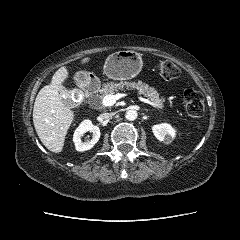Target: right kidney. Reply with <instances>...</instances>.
Returning <instances> with one entry per match:
<instances>
[{
  "label": "right kidney",
  "mask_w": 240,
  "mask_h": 240,
  "mask_svg": "<svg viewBox=\"0 0 240 240\" xmlns=\"http://www.w3.org/2000/svg\"><path fill=\"white\" fill-rule=\"evenodd\" d=\"M92 132L93 136L91 140L82 142L81 137L86 132ZM100 138V129L98 126L92 124L90 120H84L75 130L73 135V141L75 143V148L77 151H87L90 150Z\"/></svg>",
  "instance_id": "1"
}]
</instances>
